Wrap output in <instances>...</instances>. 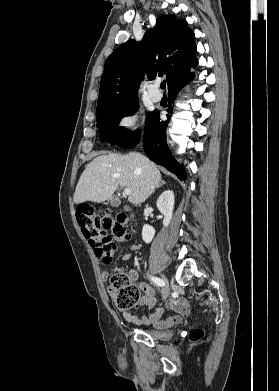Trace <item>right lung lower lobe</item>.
<instances>
[{
  "instance_id": "right-lung-lower-lobe-1",
  "label": "right lung lower lobe",
  "mask_w": 279,
  "mask_h": 391,
  "mask_svg": "<svg viewBox=\"0 0 279 391\" xmlns=\"http://www.w3.org/2000/svg\"><path fill=\"white\" fill-rule=\"evenodd\" d=\"M194 78V73H190L183 79H181L176 85H174L168 93V112H171L172 104L178 94L189 81ZM168 116V115H167ZM168 121L160 120L159 111L155 110L151 112L145 122V131L143 136L144 151L147 156L155 163L166 167L169 171L174 172L179 179H186L185 171L182 165L178 164L174 157L171 155L166 143V128ZM140 140V132H129L128 135L121 137L116 144L132 148Z\"/></svg>"
}]
</instances>
